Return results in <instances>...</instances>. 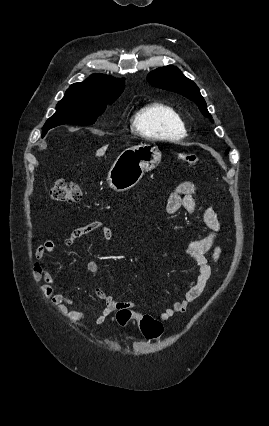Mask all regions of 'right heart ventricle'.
<instances>
[{"instance_id": "obj_1", "label": "right heart ventricle", "mask_w": 269, "mask_h": 426, "mask_svg": "<svg viewBox=\"0 0 269 426\" xmlns=\"http://www.w3.org/2000/svg\"><path fill=\"white\" fill-rule=\"evenodd\" d=\"M131 123L141 136L151 140H177L186 135V127L178 111L162 102H150L139 108Z\"/></svg>"}]
</instances>
